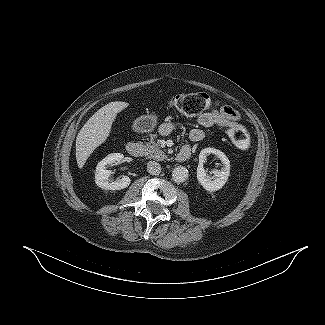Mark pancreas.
<instances>
[{"label":"pancreas","mask_w":325,"mask_h":325,"mask_svg":"<svg viewBox=\"0 0 325 325\" xmlns=\"http://www.w3.org/2000/svg\"><path fill=\"white\" fill-rule=\"evenodd\" d=\"M143 154L150 159L163 161L167 158L165 152L161 149L160 144L157 143L154 138H151L150 142L143 146Z\"/></svg>","instance_id":"obj_1"}]
</instances>
